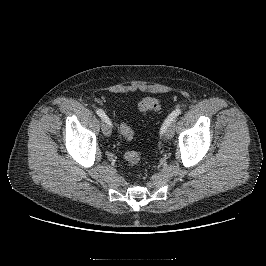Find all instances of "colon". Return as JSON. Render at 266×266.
<instances>
[{
	"instance_id": "obj_1",
	"label": "colon",
	"mask_w": 266,
	"mask_h": 266,
	"mask_svg": "<svg viewBox=\"0 0 266 266\" xmlns=\"http://www.w3.org/2000/svg\"><path fill=\"white\" fill-rule=\"evenodd\" d=\"M138 108L143 112L156 111L159 108V101L155 97H145L138 103ZM120 132L127 139H132L134 136L132 128L127 124H121ZM124 158L130 165H135L140 161V155L135 151L126 152Z\"/></svg>"
}]
</instances>
